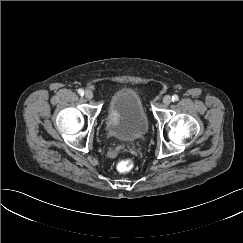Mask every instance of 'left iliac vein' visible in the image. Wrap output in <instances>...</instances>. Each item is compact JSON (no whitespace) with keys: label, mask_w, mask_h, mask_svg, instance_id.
<instances>
[{"label":"left iliac vein","mask_w":243,"mask_h":243,"mask_svg":"<svg viewBox=\"0 0 243 243\" xmlns=\"http://www.w3.org/2000/svg\"><path fill=\"white\" fill-rule=\"evenodd\" d=\"M171 101H172V98H171V96H169V95H166V96L163 98V103H164L165 105H169V104L171 103Z\"/></svg>","instance_id":"left-iliac-vein-1"}]
</instances>
